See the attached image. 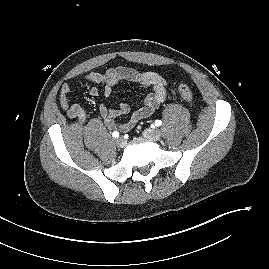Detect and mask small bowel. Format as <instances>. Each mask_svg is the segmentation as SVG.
Returning a JSON list of instances; mask_svg holds the SVG:
<instances>
[{
    "instance_id": "c3829d8e",
    "label": "small bowel",
    "mask_w": 269,
    "mask_h": 269,
    "mask_svg": "<svg viewBox=\"0 0 269 269\" xmlns=\"http://www.w3.org/2000/svg\"><path fill=\"white\" fill-rule=\"evenodd\" d=\"M84 81L101 85L105 97L111 96L114 87L120 82L137 83L141 87L151 88L152 92L146 96L143 104L132 110L131 106L121 103L109 108L101 104L98 108L99 114L106 127L110 130L130 131L140 120L149 117L166 99L168 82L158 73L152 71H140L134 68L119 66L108 69L105 73L92 72L85 76ZM71 85L64 83L60 90L59 101L62 109L71 119L84 123L86 120L85 109L76 103H72L69 97ZM91 96H98L100 90L97 87L90 89ZM128 115L125 122H117L120 116Z\"/></svg>"
}]
</instances>
